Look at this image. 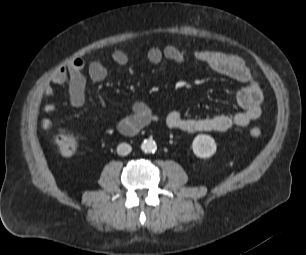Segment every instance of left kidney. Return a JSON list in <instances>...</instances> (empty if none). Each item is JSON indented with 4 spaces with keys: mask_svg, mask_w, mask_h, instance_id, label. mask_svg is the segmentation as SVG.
Wrapping results in <instances>:
<instances>
[{
    "mask_svg": "<svg viewBox=\"0 0 306 255\" xmlns=\"http://www.w3.org/2000/svg\"><path fill=\"white\" fill-rule=\"evenodd\" d=\"M216 149L215 140L209 135H197L192 142L193 153L200 158H210Z\"/></svg>",
    "mask_w": 306,
    "mask_h": 255,
    "instance_id": "5707ae66",
    "label": "left kidney"
}]
</instances>
